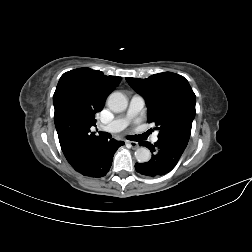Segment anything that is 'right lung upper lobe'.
<instances>
[{
    "mask_svg": "<svg viewBox=\"0 0 252 252\" xmlns=\"http://www.w3.org/2000/svg\"><path fill=\"white\" fill-rule=\"evenodd\" d=\"M121 77L106 76L101 71L79 68L64 73L53 95L54 122L66 159L89 142L101 139L90 127L96 124L107 96L118 86Z\"/></svg>",
    "mask_w": 252,
    "mask_h": 252,
    "instance_id": "1",
    "label": "right lung upper lobe"
}]
</instances>
